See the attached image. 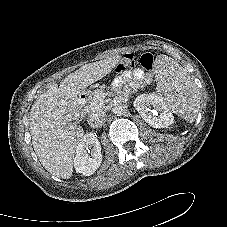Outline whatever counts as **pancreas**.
I'll return each instance as SVG.
<instances>
[{"mask_svg":"<svg viewBox=\"0 0 227 227\" xmlns=\"http://www.w3.org/2000/svg\"><path fill=\"white\" fill-rule=\"evenodd\" d=\"M98 97L103 99V90L102 89H96L89 93L88 102L86 103V105L84 107L85 112L94 113L102 108L104 101L99 102L97 99Z\"/></svg>","mask_w":227,"mask_h":227,"instance_id":"1","label":"pancreas"}]
</instances>
